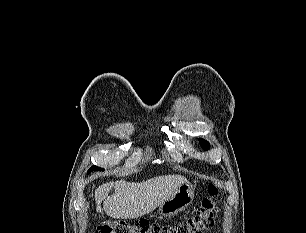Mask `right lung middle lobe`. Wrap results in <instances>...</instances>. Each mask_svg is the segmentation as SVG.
<instances>
[{"instance_id":"dd1d6c3e","label":"right lung middle lobe","mask_w":306,"mask_h":233,"mask_svg":"<svg viewBox=\"0 0 306 233\" xmlns=\"http://www.w3.org/2000/svg\"><path fill=\"white\" fill-rule=\"evenodd\" d=\"M103 170H104L103 168H100V167H98V166H92V167L88 170L87 174H89V173L92 172V171H103Z\"/></svg>"}]
</instances>
